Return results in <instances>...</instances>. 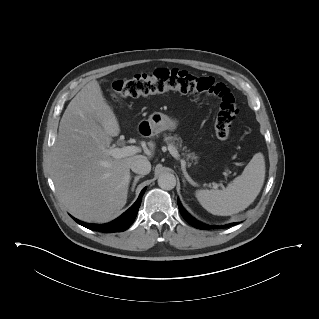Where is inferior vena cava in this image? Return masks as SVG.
<instances>
[{"mask_svg":"<svg viewBox=\"0 0 319 319\" xmlns=\"http://www.w3.org/2000/svg\"><path fill=\"white\" fill-rule=\"evenodd\" d=\"M134 173L146 175L151 171V164L146 158L134 160L130 166Z\"/></svg>","mask_w":319,"mask_h":319,"instance_id":"inferior-vena-cava-1","label":"inferior vena cava"}]
</instances>
